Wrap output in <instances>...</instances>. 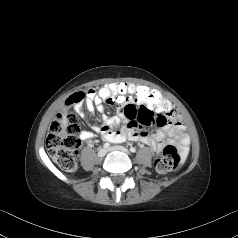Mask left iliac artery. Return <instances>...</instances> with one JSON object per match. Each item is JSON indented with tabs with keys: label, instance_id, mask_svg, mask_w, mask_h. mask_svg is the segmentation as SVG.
<instances>
[{
	"label": "left iliac artery",
	"instance_id": "left-iliac-artery-1",
	"mask_svg": "<svg viewBox=\"0 0 238 238\" xmlns=\"http://www.w3.org/2000/svg\"><path fill=\"white\" fill-rule=\"evenodd\" d=\"M130 151H131L132 153H135V152H136V149H135L134 147H131V148H130Z\"/></svg>",
	"mask_w": 238,
	"mask_h": 238
}]
</instances>
